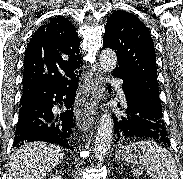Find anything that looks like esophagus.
Segmentation results:
<instances>
[{"instance_id": "1", "label": "esophagus", "mask_w": 183, "mask_h": 179, "mask_svg": "<svg viewBox=\"0 0 183 179\" xmlns=\"http://www.w3.org/2000/svg\"><path fill=\"white\" fill-rule=\"evenodd\" d=\"M102 80L103 72L99 67L91 71L86 78L89 100L84 107L75 110L77 126L84 133L89 130V127L94 122L95 106L99 99Z\"/></svg>"}]
</instances>
